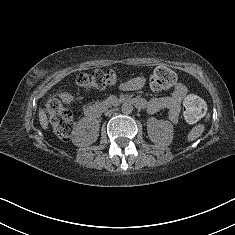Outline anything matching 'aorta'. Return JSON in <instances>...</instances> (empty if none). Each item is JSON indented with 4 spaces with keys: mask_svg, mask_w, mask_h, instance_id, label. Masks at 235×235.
Listing matches in <instances>:
<instances>
[{
    "mask_svg": "<svg viewBox=\"0 0 235 235\" xmlns=\"http://www.w3.org/2000/svg\"><path fill=\"white\" fill-rule=\"evenodd\" d=\"M121 111H122L123 114H130L133 111V106L129 103H124L121 106Z\"/></svg>",
    "mask_w": 235,
    "mask_h": 235,
    "instance_id": "1",
    "label": "aorta"
}]
</instances>
